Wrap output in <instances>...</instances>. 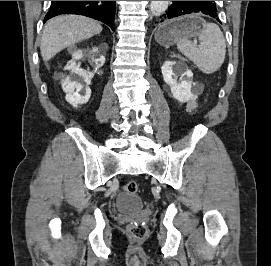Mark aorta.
I'll use <instances>...</instances> for the list:
<instances>
[{
	"instance_id": "obj_1",
	"label": "aorta",
	"mask_w": 271,
	"mask_h": 266,
	"mask_svg": "<svg viewBox=\"0 0 271 266\" xmlns=\"http://www.w3.org/2000/svg\"><path fill=\"white\" fill-rule=\"evenodd\" d=\"M169 1H151L150 11L153 16L162 15L168 8Z\"/></svg>"
}]
</instances>
